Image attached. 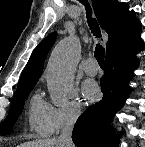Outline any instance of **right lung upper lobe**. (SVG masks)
<instances>
[{
  "instance_id": "right-lung-upper-lobe-1",
  "label": "right lung upper lobe",
  "mask_w": 145,
  "mask_h": 147,
  "mask_svg": "<svg viewBox=\"0 0 145 147\" xmlns=\"http://www.w3.org/2000/svg\"><path fill=\"white\" fill-rule=\"evenodd\" d=\"M92 4L101 27L109 35L107 51L140 25L135 12L129 11L126 3H119L118 0H92ZM55 39L56 33L53 32L35 48L21 75L17 89L35 86L41 76L46 55Z\"/></svg>"
}]
</instances>
